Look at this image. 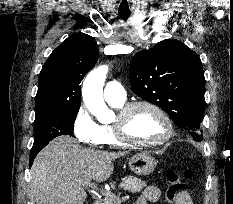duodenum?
I'll return each mask as SVG.
<instances>
[{"label": "duodenum", "instance_id": "duodenum-1", "mask_svg": "<svg viewBox=\"0 0 233 204\" xmlns=\"http://www.w3.org/2000/svg\"><path fill=\"white\" fill-rule=\"evenodd\" d=\"M91 204H99L98 201H93Z\"/></svg>", "mask_w": 233, "mask_h": 204}]
</instances>
